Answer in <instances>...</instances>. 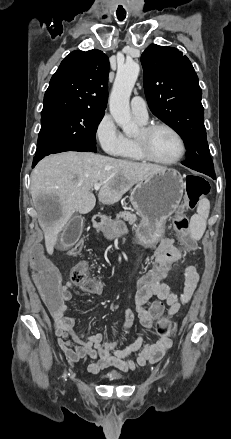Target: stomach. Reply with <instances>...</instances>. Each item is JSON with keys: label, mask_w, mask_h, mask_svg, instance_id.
<instances>
[{"label": "stomach", "mask_w": 231, "mask_h": 439, "mask_svg": "<svg viewBox=\"0 0 231 439\" xmlns=\"http://www.w3.org/2000/svg\"><path fill=\"white\" fill-rule=\"evenodd\" d=\"M184 182L175 169H164L138 182L130 201L141 217L136 226V238L152 247L163 235L167 219L176 211L183 196ZM103 233L108 239L127 233L126 225L119 220L107 222Z\"/></svg>", "instance_id": "stomach-1"}]
</instances>
